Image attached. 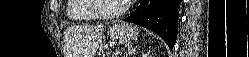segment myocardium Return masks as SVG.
Returning a JSON list of instances; mask_svg holds the SVG:
<instances>
[{
	"mask_svg": "<svg viewBox=\"0 0 249 57\" xmlns=\"http://www.w3.org/2000/svg\"><path fill=\"white\" fill-rule=\"evenodd\" d=\"M101 0H89L88 6L95 13V15L102 20H113L121 17L128 9V3L123 2L121 8L114 13H104L101 11Z\"/></svg>",
	"mask_w": 249,
	"mask_h": 57,
	"instance_id": "obj_1",
	"label": "myocardium"
}]
</instances>
